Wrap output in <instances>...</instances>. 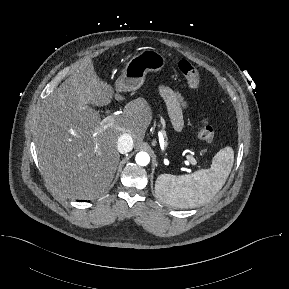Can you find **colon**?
Listing matches in <instances>:
<instances>
[{"label":"colon","mask_w":289,"mask_h":289,"mask_svg":"<svg viewBox=\"0 0 289 289\" xmlns=\"http://www.w3.org/2000/svg\"><path fill=\"white\" fill-rule=\"evenodd\" d=\"M178 69L189 87L197 88L199 86L200 76L198 70L190 61L186 59L180 60L178 63ZM199 136L203 141L209 144H212L215 141L214 129L207 118L202 121Z\"/></svg>","instance_id":"obj_1"}]
</instances>
